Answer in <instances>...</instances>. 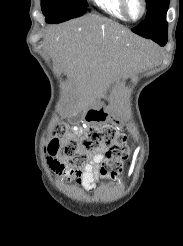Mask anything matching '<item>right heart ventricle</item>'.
Here are the masks:
<instances>
[{
    "label": "right heart ventricle",
    "instance_id": "1",
    "mask_svg": "<svg viewBox=\"0 0 183 246\" xmlns=\"http://www.w3.org/2000/svg\"><path fill=\"white\" fill-rule=\"evenodd\" d=\"M93 3L102 11L119 20L126 21L121 0H92Z\"/></svg>",
    "mask_w": 183,
    "mask_h": 246
}]
</instances>
